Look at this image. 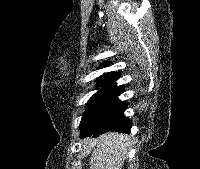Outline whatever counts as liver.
I'll list each match as a JSON object with an SVG mask.
<instances>
[{"mask_svg": "<svg viewBox=\"0 0 200 169\" xmlns=\"http://www.w3.org/2000/svg\"><path fill=\"white\" fill-rule=\"evenodd\" d=\"M130 138L126 134L108 132L99 138H86L83 143L92 151L90 169H121Z\"/></svg>", "mask_w": 200, "mask_h": 169, "instance_id": "liver-1", "label": "liver"}]
</instances>
